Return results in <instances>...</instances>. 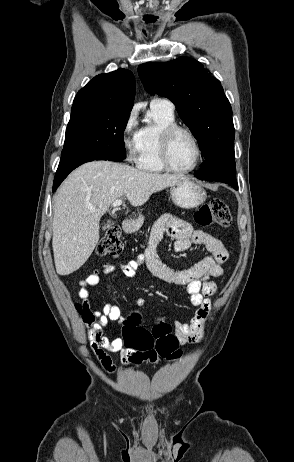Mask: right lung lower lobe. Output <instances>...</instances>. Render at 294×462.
<instances>
[{
  "mask_svg": "<svg viewBox=\"0 0 294 462\" xmlns=\"http://www.w3.org/2000/svg\"><path fill=\"white\" fill-rule=\"evenodd\" d=\"M100 160H109V161H115V162H122L124 159L119 158V157H111V158H105V159H100ZM89 161H94V160L81 161V162L70 164V165H67V166H64V167H58V169L56 171V174H55L52 191H55L58 188V186L61 184V182L68 176V174L72 170H74L75 168H77L81 164H83L85 162H89Z\"/></svg>",
  "mask_w": 294,
  "mask_h": 462,
  "instance_id": "1",
  "label": "right lung lower lobe"
}]
</instances>
